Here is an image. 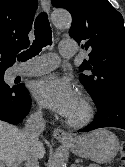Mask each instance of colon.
Instances as JSON below:
<instances>
[{"instance_id": "1", "label": "colon", "mask_w": 125, "mask_h": 167, "mask_svg": "<svg viewBox=\"0 0 125 167\" xmlns=\"http://www.w3.org/2000/svg\"><path fill=\"white\" fill-rule=\"evenodd\" d=\"M120 166L119 167H125V142L122 144L120 149Z\"/></svg>"}]
</instances>
